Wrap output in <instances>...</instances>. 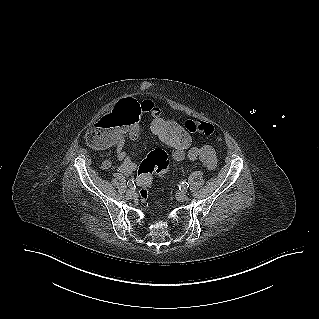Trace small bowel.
<instances>
[{
	"instance_id": "c3829d8e",
	"label": "small bowel",
	"mask_w": 319,
	"mask_h": 319,
	"mask_svg": "<svg viewBox=\"0 0 319 319\" xmlns=\"http://www.w3.org/2000/svg\"><path fill=\"white\" fill-rule=\"evenodd\" d=\"M114 107L110 108L108 112L101 114L100 117H95V125L90 127L87 132V140L90 145L101 149H109L116 142V156L121 161L117 169L122 173H131L135 170L136 165L125 152V141L129 138L132 140L137 139L145 128V125H142V113L149 115L152 119L162 115V112L152 101L141 102L134 98L115 101ZM169 148L172 149V157L177 162L183 161L187 157L191 161L200 162L210 171L217 166L216 153L210 145L198 147L193 142L192 146L186 150ZM110 164L109 160H105L102 166L107 168Z\"/></svg>"
}]
</instances>
